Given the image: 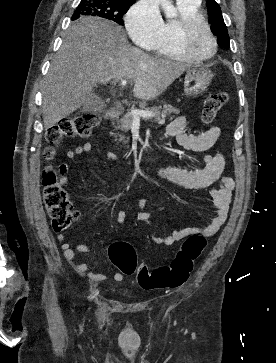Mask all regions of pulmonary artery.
<instances>
[{"label":"pulmonary artery","mask_w":276,"mask_h":363,"mask_svg":"<svg viewBox=\"0 0 276 363\" xmlns=\"http://www.w3.org/2000/svg\"><path fill=\"white\" fill-rule=\"evenodd\" d=\"M181 2H199L200 0H177Z\"/></svg>","instance_id":"pulmonary-artery-1"}]
</instances>
